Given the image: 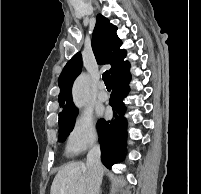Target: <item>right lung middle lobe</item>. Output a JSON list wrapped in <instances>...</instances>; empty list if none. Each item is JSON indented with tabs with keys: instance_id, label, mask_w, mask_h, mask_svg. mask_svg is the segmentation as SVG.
<instances>
[{
	"instance_id": "dd1d6c3e",
	"label": "right lung middle lobe",
	"mask_w": 201,
	"mask_h": 194,
	"mask_svg": "<svg viewBox=\"0 0 201 194\" xmlns=\"http://www.w3.org/2000/svg\"><path fill=\"white\" fill-rule=\"evenodd\" d=\"M77 114L78 111L65 118L59 119V142H64L66 137L72 131Z\"/></svg>"
}]
</instances>
